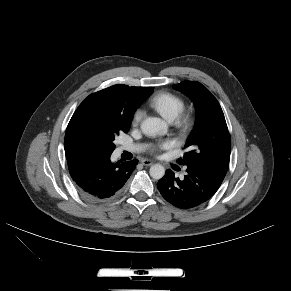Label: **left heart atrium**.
I'll list each match as a JSON object with an SVG mask.
<instances>
[{
    "label": "left heart atrium",
    "mask_w": 291,
    "mask_h": 291,
    "mask_svg": "<svg viewBox=\"0 0 291 291\" xmlns=\"http://www.w3.org/2000/svg\"><path fill=\"white\" fill-rule=\"evenodd\" d=\"M171 146L169 141L160 142L152 147V151H158L160 149H166Z\"/></svg>",
    "instance_id": "39dd6f15"
}]
</instances>
